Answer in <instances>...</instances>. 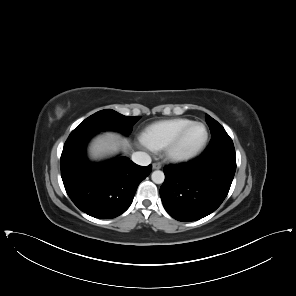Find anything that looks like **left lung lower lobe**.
Instances as JSON below:
<instances>
[{"instance_id":"1","label":"left lung lower lobe","mask_w":296,"mask_h":296,"mask_svg":"<svg viewBox=\"0 0 296 296\" xmlns=\"http://www.w3.org/2000/svg\"><path fill=\"white\" fill-rule=\"evenodd\" d=\"M235 170V154L231 153L207 161L199 157L166 166L160 188L166 211L179 221H195L209 215L227 196Z\"/></svg>"}]
</instances>
